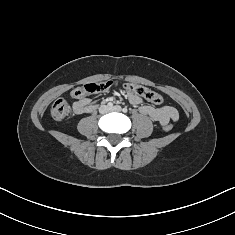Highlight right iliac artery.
<instances>
[{
	"label": "right iliac artery",
	"instance_id": "82829eb1",
	"mask_svg": "<svg viewBox=\"0 0 235 235\" xmlns=\"http://www.w3.org/2000/svg\"><path fill=\"white\" fill-rule=\"evenodd\" d=\"M107 105H108V107H112L113 103L109 102Z\"/></svg>",
	"mask_w": 235,
	"mask_h": 235
}]
</instances>
